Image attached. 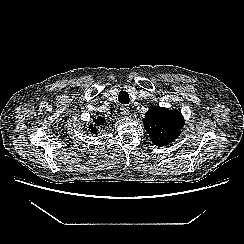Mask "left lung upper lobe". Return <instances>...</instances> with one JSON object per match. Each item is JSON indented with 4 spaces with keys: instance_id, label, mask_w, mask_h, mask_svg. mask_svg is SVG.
<instances>
[{
    "instance_id": "left-lung-upper-lobe-1",
    "label": "left lung upper lobe",
    "mask_w": 244,
    "mask_h": 244,
    "mask_svg": "<svg viewBox=\"0 0 244 244\" xmlns=\"http://www.w3.org/2000/svg\"><path fill=\"white\" fill-rule=\"evenodd\" d=\"M184 126V119L177 110L152 106L144 118V127L156 146H166L174 141Z\"/></svg>"
}]
</instances>
